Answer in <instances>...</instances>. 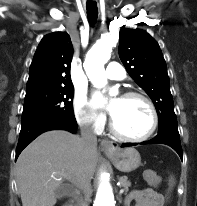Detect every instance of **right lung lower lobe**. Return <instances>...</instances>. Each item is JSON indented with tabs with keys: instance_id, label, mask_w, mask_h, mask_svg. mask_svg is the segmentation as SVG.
<instances>
[{
	"instance_id": "98d812e1",
	"label": "right lung lower lobe",
	"mask_w": 197,
	"mask_h": 206,
	"mask_svg": "<svg viewBox=\"0 0 197 206\" xmlns=\"http://www.w3.org/2000/svg\"><path fill=\"white\" fill-rule=\"evenodd\" d=\"M75 117H56L36 121L30 125L21 127L19 141L16 149V159L23 149L30 144L41 133L49 130H67L75 133L77 130Z\"/></svg>"
}]
</instances>
